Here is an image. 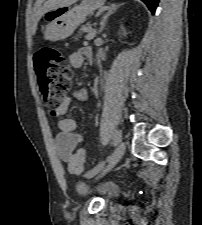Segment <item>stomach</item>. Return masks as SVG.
Returning <instances> with one entry per match:
<instances>
[{
    "label": "stomach",
    "mask_w": 202,
    "mask_h": 225,
    "mask_svg": "<svg viewBox=\"0 0 202 225\" xmlns=\"http://www.w3.org/2000/svg\"><path fill=\"white\" fill-rule=\"evenodd\" d=\"M104 3L105 0H83L80 5L73 8L59 7L47 12L44 16L48 17L49 21L43 31L44 38L53 42L68 38Z\"/></svg>",
    "instance_id": "0dacf381"
}]
</instances>
